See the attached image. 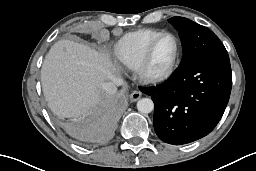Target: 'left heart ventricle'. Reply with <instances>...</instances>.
I'll return each mask as SVG.
<instances>
[{
  "mask_svg": "<svg viewBox=\"0 0 256 171\" xmlns=\"http://www.w3.org/2000/svg\"><path fill=\"white\" fill-rule=\"evenodd\" d=\"M175 41L172 37L162 38L155 46L149 63L151 73H160L171 64L175 54Z\"/></svg>",
  "mask_w": 256,
  "mask_h": 171,
  "instance_id": "obj_1",
  "label": "left heart ventricle"
}]
</instances>
